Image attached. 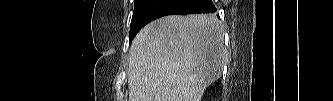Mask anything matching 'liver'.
Instances as JSON below:
<instances>
[{"mask_svg":"<svg viewBox=\"0 0 333 101\" xmlns=\"http://www.w3.org/2000/svg\"><path fill=\"white\" fill-rule=\"evenodd\" d=\"M227 52L215 15H171L146 25L129 51V101H201Z\"/></svg>","mask_w":333,"mask_h":101,"instance_id":"1","label":"liver"}]
</instances>
